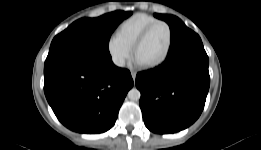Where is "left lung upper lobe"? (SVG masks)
<instances>
[{"instance_id":"5c2ea615","label":"left lung upper lobe","mask_w":261,"mask_h":150,"mask_svg":"<svg viewBox=\"0 0 261 150\" xmlns=\"http://www.w3.org/2000/svg\"><path fill=\"white\" fill-rule=\"evenodd\" d=\"M154 16L168 23L171 30V40L173 41L177 36H179L183 31L187 30V26L176 16L167 14H157Z\"/></svg>"}]
</instances>
